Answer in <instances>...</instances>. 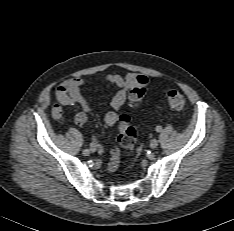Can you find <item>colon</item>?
Wrapping results in <instances>:
<instances>
[{"instance_id":"obj_1","label":"colon","mask_w":234,"mask_h":231,"mask_svg":"<svg viewBox=\"0 0 234 231\" xmlns=\"http://www.w3.org/2000/svg\"><path fill=\"white\" fill-rule=\"evenodd\" d=\"M146 85V77L138 76L136 78V82L129 93L130 104L133 107H136L141 103L146 93ZM162 95L169 107L178 111L183 110L186 101L184 95L181 92L174 89H168L164 90ZM118 131V144L125 149L132 150L135 145L136 131L131 125L130 117L128 115L124 114L120 116ZM112 159L117 164L118 150L116 148L113 150Z\"/></svg>"}]
</instances>
